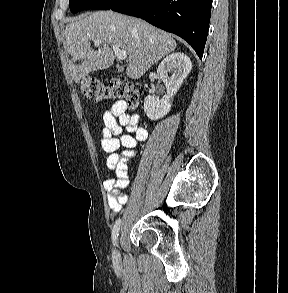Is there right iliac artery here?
I'll list each match as a JSON object with an SVG mask.
<instances>
[{"label":"right iliac artery","instance_id":"obj_1","mask_svg":"<svg viewBox=\"0 0 288 293\" xmlns=\"http://www.w3.org/2000/svg\"><path fill=\"white\" fill-rule=\"evenodd\" d=\"M120 224H121V219H118L116 222H115V225L113 227V231H112V239H113V243L116 244V240H117V237H118V232H119V229H120Z\"/></svg>","mask_w":288,"mask_h":293}]
</instances>
